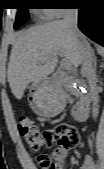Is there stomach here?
Here are the masks:
<instances>
[{"instance_id":"stomach-1","label":"stomach","mask_w":104,"mask_h":169,"mask_svg":"<svg viewBox=\"0 0 104 169\" xmlns=\"http://www.w3.org/2000/svg\"><path fill=\"white\" fill-rule=\"evenodd\" d=\"M28 100L32 110L43 117L58 115L66 103L63 89L51 81L36 84Z\"/></svg>"}]
</instances>
